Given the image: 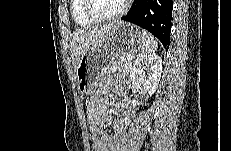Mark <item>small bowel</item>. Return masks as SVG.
Listing matches in <instances>:
<instances>
[{
  "label": "small bowel",
  "instance_id": "small-bowel-1",
  "mask_svg": "<svg viewBox=\"0 0 231 151\" xmlns=\"http://www.w3.org/2000/svg\"><path fill=\"white\" fill-rule=\"evenodd\" d=\"M113 91L121 99L116 103V110L122 116L113 121L115 130L113 135L108 134L103 127L110 122L108 92ZM124 87L112 80L101 82L97 93L91 97L87 106V120L92 137V151H119L125 135V130L133 117L129 100L123 96Z\"/></svg>",
  "mask_w": 231,
  "mask_h": 151
}]
</instances>
